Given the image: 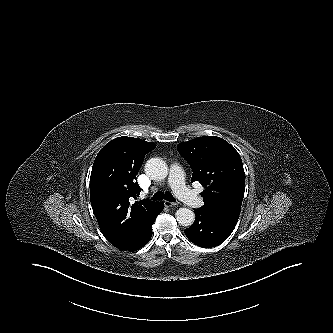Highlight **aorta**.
<instances>
[{
  "instance_id": "762f6f07",
  "label": "aorta",
  "mask_w": 333,
  "mask_h": 333,
  "mask_svg": "<svg viewBox=\"0 0 333 333\" xmlns=\"http://www.w3.org/2000/svg\"><path fill=\"white\" fill-rule=\"evenodd\" d=\"M145 172L154 180H162L168 175V166L161 158H151L145 164ZM175 217L182 226H190L195 220V214L188 208H179Z\"/></svg>"
}]
</instances>
